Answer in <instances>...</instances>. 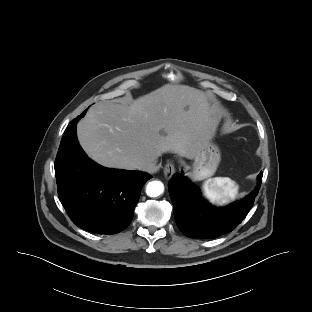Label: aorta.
<instances>
[{
  "label": "aorta",
  "mask_w": 312,
  "mask_h": 312,
  "mask_svg": "<svg viewBox=\"0 0 312 312\" xmlns=\"http://www.w3.org/2000/svg\"><path fill=\"white\" fill-rule=\"evenodd\" d=\"M164 192V185L161 181H151L147 184L146 194L149 197H158Z\"/></svg>",
  "instance_id": "aorta-1"
}]
</instances>
